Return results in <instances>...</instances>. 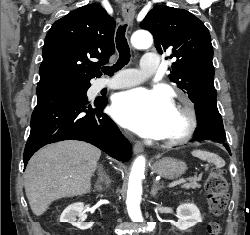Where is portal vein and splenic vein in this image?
<instances>
[{
  "label": "portal vein and splenic vein",
  "mask_w": 250,
  "mask_h": 235,
  "mask_svg": "<svg viewBox=\"0 0 250 235\" xmlns=\"http://www.w3.org/2000/svg\"><path fill=\"white\" fill-rule=\"evenodd\" d=\"M187 182V179H179V180H176L174 182H172L171 184H169V188H172V187H175L179 184H183V183H186Z\"/></svg>",
  "instance_id": "1"
}]
</instances>
